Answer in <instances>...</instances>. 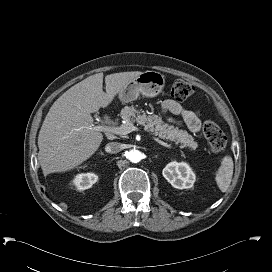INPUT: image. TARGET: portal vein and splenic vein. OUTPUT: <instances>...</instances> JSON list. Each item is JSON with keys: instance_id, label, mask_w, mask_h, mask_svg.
Wrapping results in <instances>:
<instances>
[{"instance_id": "1", "label": "portal vein and splenic vein", "mask_w": 272, "mask_h": 272, "mask_svg": "<svg viewBox=\"0 0 272 272\" xmlns=\"http://www.w3.org/2000/svg\"><path fill=\"white\" fill-rule=\"evenodd\" d=\"M94 129L97 131L110 132L117 135H127L128 133L132 131H141L138 127L134 126L132 123H127L119 127L118 126H95ZM152 138L156 142H158L160 145L169 149H174L170 144L160 140L159 138L154 136H152Z\"/></svg>"}]
</instances>
